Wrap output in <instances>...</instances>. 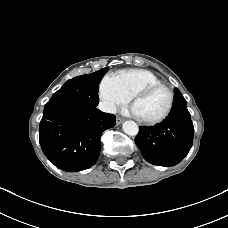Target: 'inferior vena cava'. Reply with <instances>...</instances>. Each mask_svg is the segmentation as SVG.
<instances>
[{
    "label": "inferior vena cava",
    "mask_w": 228,
    "mask_h": 228,
    "mask_svg": "<svg viewBox=\"0 0 228 228\" xmlns=\"http://www.w3.org/2000/svg\"><path fill=\"white\" fill-rule=\"evenodd\" d=\"M98 108L103 111V112H107V113H116L117 112V108L114 104L106 102V101H102L99 103Z\"/></svg>",
    "instance_id": "602c4592"
}]
</instances>
